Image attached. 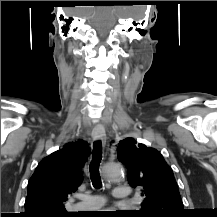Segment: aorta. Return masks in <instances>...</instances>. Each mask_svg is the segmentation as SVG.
Segmentation results:
<instances>
[{
    "instance_id": "obj_1",
    "label": "aorta",
    "mask_w": 217,
    "mask_h": 217,
    "mask_svg": "<svg viewBox=\"0 0 217 217\" xmlns=\"http://www.w3.org/2000/svg\"><path fill=\"white\" fill-rule=\"evenodd\" d=\"M123 169L116 163H108L103 166V175L107 181H118L122 179Z\"/></svg>"
}]
</instances>
